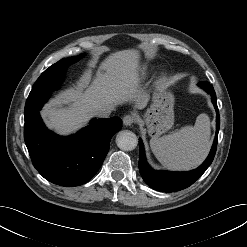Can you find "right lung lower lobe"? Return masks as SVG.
I'll return each instance as SVG.
<instances>
[{"instance_id":"right-lung-lower-lobe-1","label":"right lung lower lobe","mask_w":247,"mask_h":247,"mask_svg":"<svg viewBox=\"0 0 247 247\" xmlns=\"http://www.w3.org/2000/svg\"><path fill=\"white\" fill-rule=\"evenodd\" d=\"M50 93L29 98L24 110V139L34 167L48 181L66 187L88 182L101 167L112 136L122 128L118 117L93 119L92 123L69 137L49 131L40 117Z\"/></svg>"}]
</instances>
